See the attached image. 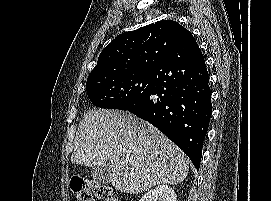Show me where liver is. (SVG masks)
Masks as SVG:
<instances>
[{
    "label": "liver",
    "instance_id": "obj_1",
    "mask_svg": "<svg viewBox=\"0 0 271 201\" xmlns=\"http://www.w3.org/2000/svg\"><path fill=\"white\" fill-rule=\"evenodd\" d=\"M108 160L112 185L130 194L176 185L189 171L184 152L153 125L126 111L89 110L79 126L71 162L95 167Z\"/></svg>",
    "mask_w": 271,
    "mask_h": 201
}]
</instances>
